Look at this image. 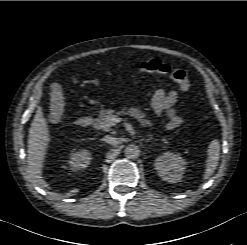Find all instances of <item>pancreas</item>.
I'll return each instance as SVG.
<instances>
[{
	"instance_id": "pancreas-1",
	"label": "pancreas",
	"mask_w": 247,
	"mask_h": 245,
	"mask_svg": "<svg viewBox=\"0 0 247 245\" xmlns=\"http://www.w3.org/2000/svg\"><path fill=\"white\" fill-rule=\"evenodd\" d=\"M113 115H130L134 117L142 126L151 127L153 124L146 118V114L141 112L138 108L132 106L130 108H123L121 111L113 109L102 110L97 119H95L94 128L102 131H110L108 119Z\"/></svg>"
}]
</instances>
